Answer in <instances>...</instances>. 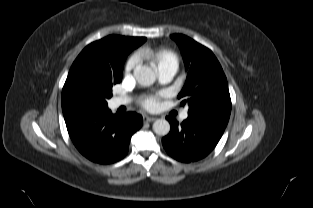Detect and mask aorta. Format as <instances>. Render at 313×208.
Masks as SVG:
<instances>
[{
  "label": "aorta",
  "instance_id": "obj_1",
  "mask_svg": "<svg viewBox=\"0 0 313 208\" xmlns=\"http://www.w3.org/2000/svg\"><path fill=\"white\" fill-rule=\"evenodd\" d=\"M133 74L136 81L142 86H150L156 80L155 72L146 65H137ZM153 131L157 135L165 136L170 131V124L166 119H158L153 123Z\"/></svg>",
  "mask_w": 313,
  "mask_h": 208
}]
</instances>
